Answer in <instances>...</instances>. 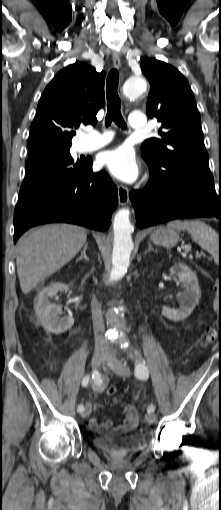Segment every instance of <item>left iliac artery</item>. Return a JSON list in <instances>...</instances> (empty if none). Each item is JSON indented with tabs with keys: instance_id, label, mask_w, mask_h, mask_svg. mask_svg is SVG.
<instances>
[{
	"instance_id": "44dca946",
	"label": "left iliac artery",
	"mask_w": 221,
	"mask_h": 510,
	"mask_svg": "<svg viewBox=\"0 0 221 510\" xmlns=\"http://www.w3.org/2000/svg\"><path fill=\"white\" fill-rule=\"evenodd\" d=\"M134 374L139 379L146 380L148 378L149 371H148V368H147L146 363H145L144 360L139 359L137 361L136 366H135ZM147 410H148V412H154L155 411V405L154 404H150L148 406Z\"/></svg>"
}]
</instances>
